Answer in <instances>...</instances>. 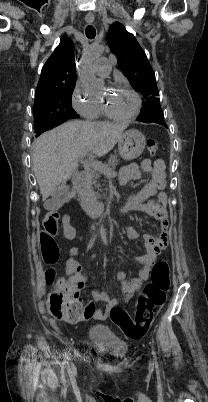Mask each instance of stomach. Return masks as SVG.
<instances>
[{"mask_svg":"<svg viewBox=\"0 0 208 402\" xmlns=\"http://www.w3.org/2000/svg\"><path fill=\"white\" fill-rule=\"evenodd\" d=\"M145 148V138L138 130H127L118 142V150L123 160H135Z\"/></svg>","mask_w":208,"mask_h":402,"instance_id":"0dacf381","label":"stomach"}]
</instances>
